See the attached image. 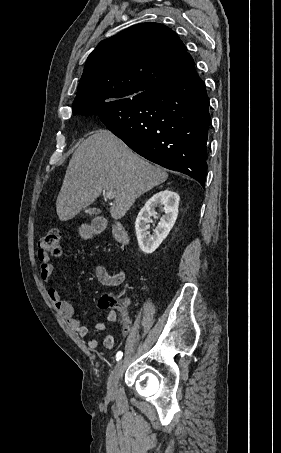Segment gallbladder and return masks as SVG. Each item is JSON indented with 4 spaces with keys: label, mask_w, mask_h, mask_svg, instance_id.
I'll return each instance as SVG.
<instances>
[{
    "label": "gallbladder",
    "mask_w": 281,
    "mask_h": 453,
    "mask_svg": "<svg viewBox=\"0 0 281 453\" xmlns=\"http://www.w3.org/2000/svg\"><path fill=\"white\" fill-rule=\"evenodd\" d=\"M85 212H88V214H98L100 212L99 208H87Z\"/></svg>",
    "instance_id": "bac80fb5"
}]
</instances>
